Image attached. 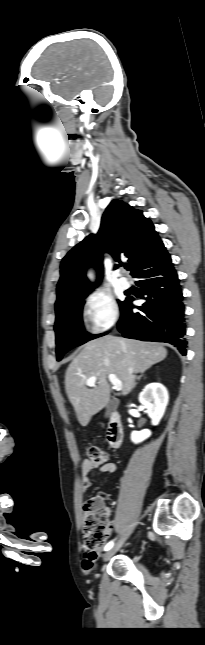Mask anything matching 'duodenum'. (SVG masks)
Wrapping results in <instances>:
<instances>
[{
	"label": "duodenum",
	"mask_w": 205,
	"mask_h": 645,
	"mask_svg": "<svg viewBox=\"0 0 205 645\" xmlns=\"http://www.w3.org/2000/svg\"><path fill=\"white\" fill-rule=\"evenodd\" d=\"M124 436L123 425L120 415L113 412L110 416L107 427V441L112 448H118L122 444Z\"/></svg>",
	"instance_id": "410a0bca"
}]
</instances>
